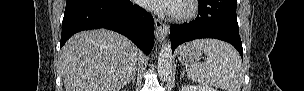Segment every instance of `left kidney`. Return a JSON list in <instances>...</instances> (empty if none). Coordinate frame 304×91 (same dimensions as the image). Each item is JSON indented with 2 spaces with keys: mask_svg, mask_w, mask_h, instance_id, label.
<instances>
[{
  "mask_svg": "<svg viewBox=\"0 0 304 91\" xmlns=\"http://www.w3.org/2000/svg\"><path fill=\"white\" fill-rule=\"evenodd\" d=\"M180 91H217V89H214L207 85H198V86H182Z\"/></svg>",
  "mask_w": 304,
  "mask_h": 91,
  "instance_id": "left-kidney-1",
  "label": "left kidney"
}]
</instances>
